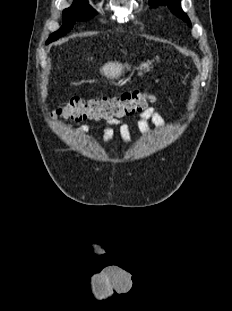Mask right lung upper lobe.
Here are the masks:
<instances>
[{
	"label": "right lung upper lobe",
	"mask_w": 232,
	"mask_h": 311,
	"mask_svg": "<svg viewBox=\"0 0 232 311\" xmlns=\"http://www.w3.org/2000/svg\"><path fill=\"white\" fill-rule=\"evenodd\" d=\"M78 1H85V2H87V0H75L74 2H78Z\"/></svg>",
	"instance_id": "obj_1"
}]
</instances>
